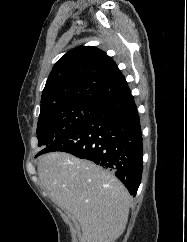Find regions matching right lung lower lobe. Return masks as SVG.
Returning <instances> with one entry per match:
<instances>
[{
    "label": "right lung lower lobe",
    "instance_id": "98d812e1",
    "mask_svg": "<svg viewBox=\"0 0 187 242\" xmlns=\"http://www.w3.org/2000/svg\"><path fill=\"white\" fill-rule=\"evenodd\" d=\"M53 151L71 153L112 171L135 196L141 182L143 145L139 115L131 93L106 104L99 113L38 155Z\"/></svg>",
    "mask_w": 187,
    "mask_h": 242
}]
</instances>
